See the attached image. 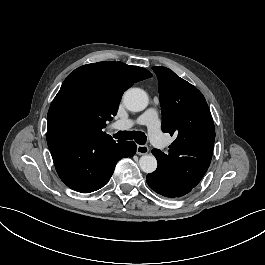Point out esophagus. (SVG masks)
Returning <instances> with one entry per match:
<instances>
[{"label": "esophagus", "instance_id": "1", "mask_svg": "<svg viewBox=\"0 0 265 265\" xmlns=\"http://www.w3.org/2000/svg\"><path fill=\"white\" fill-rule=\"evenodd\" d=\"M149 152V147L147 145H137L136 153L138 155H144Z\"/></svg>", "mask_w": 265, "mask_h": 265}]
</instances>
